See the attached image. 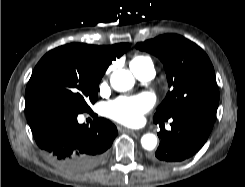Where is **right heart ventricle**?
<instances>
[{
  "label": "right heart ventricle",
  "instance_id": "1",
  "mask_svg": "<svg viewBox=\"0 0 245 187\" xmlns=\"http://www.w3.org/2000/svg\"><path fill=\"white\" fill-rule=\"evenodd\" d=\"M147 64H153L149 56L135 55L130 61V68L132 71L140 69Z\"/></svg>",
  "mask_w": 245,
  "mask_h": 187
}]
</instances>
